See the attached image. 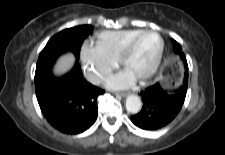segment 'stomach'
Here are the masks:
<instances>
[{
    "label": "stomach",
    "mask_w": 225,
    "mask_h": 155,
    "mask_svg": "<svg viewBox=\"0 0 225 155\" xmlns=\"http://www.w3.org/2000/svg\"><path fill=\"white\" fill-rule=\"evenodd\" d=\"M160 79L163 87L167 90H174L179 86V79L174 73H170L167 68L160 72Z\"/></svg>",
    "instance_id": "0dacf381"
}]
</instances>
